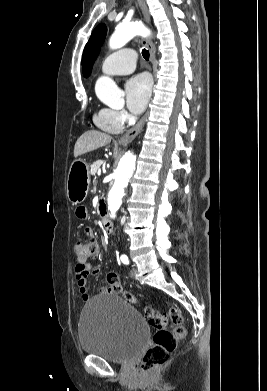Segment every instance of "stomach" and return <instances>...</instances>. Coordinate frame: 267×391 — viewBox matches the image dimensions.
Instances as JSON below:
<instances>
[{"instance_id":"stomach-1","label":"stomach","mask_w":267,"mask_h":391,"mask_svg":"<svg viewBox=\"0 0 267 391\" xmlns=\"http://www.w3.org/2000/svg\"><path fill=\"white\" fill-rule=\"evenodd\" d=\"M90 184L89 165L83 160H75L67 176V197L72 204L82 203Z\"/></svg>"}]
</instances>
